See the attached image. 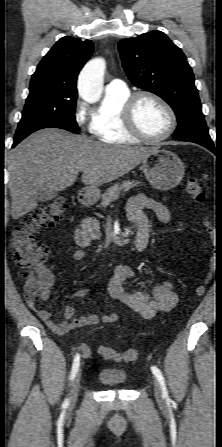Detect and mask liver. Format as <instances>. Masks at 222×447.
<instances>
[{"mask_svg":"<svg viewBox=\"0 0 222 447\" xmlns=\"http://www.w3.org/2000/svg\"><path fill=\"white\" fill-rule=\"evenodd\" d=\"M154 149L109 145L56 128L39 130L9 156L12 218L38 206V191L44 185L64 190L76 182L80 171L85 185H103L129 173Z\"/></svg>","mask_w":222,"mask_h":447,"instance_id":"1","label":"liver"}]
</instances>
